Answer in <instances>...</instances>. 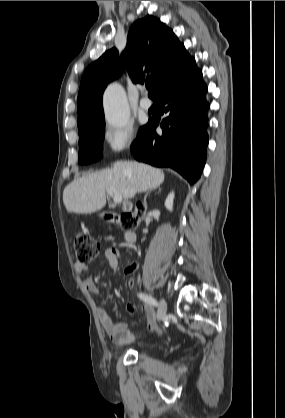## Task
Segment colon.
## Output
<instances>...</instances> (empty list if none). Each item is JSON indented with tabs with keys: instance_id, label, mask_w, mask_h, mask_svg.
<instances>
[{
	"instance_id": "1",
	"label": "colon",
	"mask_w": 285,
	"mask_h": 418,
	"mask_svg": "<svg viewBox=\"0 0 285 418\" xmlns=\"http://www.w3.org/2000/svg\"><path fill=\"white\" fill-rule=\"evenodd\" d=\"M142 214H126L121 218L120 227L122 229H131L139 225ZM74 248L79 262H89L98 252L99 247L94 237L88 233H80L74 237Z\"/></svg>"
}]
</instances>
